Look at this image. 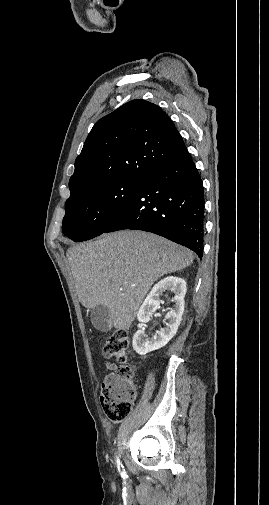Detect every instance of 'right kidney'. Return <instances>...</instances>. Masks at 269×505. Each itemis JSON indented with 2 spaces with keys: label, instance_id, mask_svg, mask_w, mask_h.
<instances>
[{
  "label": "right kidney",
  "instance_id": "ca27d5eb",
  "mask_svg": "<svg viewBox=\"0 0 269 505\" xmlns=\"http://www.w3.org/2000/svg\"><path fill=\"white\" fill-rule=\"evenodd\" d=\"M186 282L184 279L169 276L159 281L150 291L142 303L137 319L141 323H147L152 314L160 308V297L164 292L174 293V307L166 314L167 323L157 334L148 337L144 329L138 330L133 337V348L139 355L164 347L177 333L184 312V297L186 294Z\"/></svg>",
  "mask_w": 269,
  "mask_h": 505
}]
</instances>
